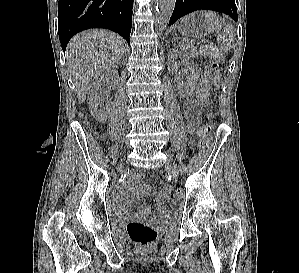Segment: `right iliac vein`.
I'll return each mask as SVG.
<instances>
[{"label":"right iliac vein","instance_id":"right-iliac-vein-1","mask_svg":"<svg viewBox=\"0 0 299 273\" xmlns=\"http://www.w3.org/2000/svg\"><path fill=\"white\" fill-rule=\"evenodd\" d=\"M122 164H123V161H121V163H120V167H122Z\"/></svg>","mask_w":299,"mask_h":273}]
</instances>
